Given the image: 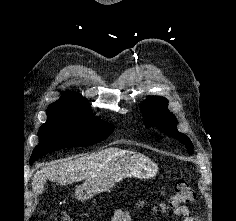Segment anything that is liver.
Instances as JSON below:
<instances>
[{"instance_id": "1", "label": "liver", "mask_w": 236, "mask_h": 221, "mask_svg": "<svg viewBox=\"0 0 236 221\" xmlns=\"http://www.w3.org/2000/svg\"><path fill=\"white\" fill-rule=\"evenodd\" d=\"M119 152L122 151L118 148H107L87 156L53 162L34 174L32 190L35 195L42 194L47 180L66 185L86 179L98 170L106 160Z\"/></svg>"}]
</instances>
